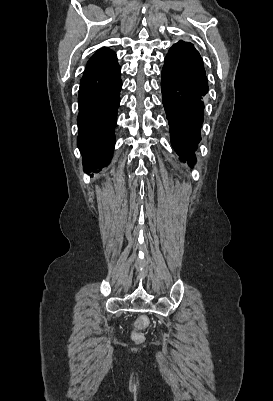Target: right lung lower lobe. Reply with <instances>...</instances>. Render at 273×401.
I'll return each mask as SVG.
<instances>
[{
  "label": "right lung lower lobe",
  "mask_w": 273,
  "mask_h": 401,
  "mask_svg": "<svg viewBox=\"0 0 273 401\" xmlns=\"http://www.w3.org/2000/svg\"><path fill=\"white\" fill-rule=\"evenodd\" d=\"M117 59L84 72L79 88L77 145L86 173L108 166L111 161L122 88Z\"/></svg>",
  "instance_id": "obj_1"
}]
</instances>
